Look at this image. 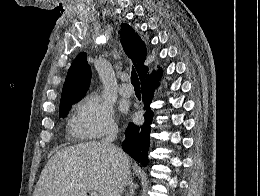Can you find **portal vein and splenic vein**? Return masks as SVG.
I'll return each mask as SVG.
<instances>
[{
    "label": "portal vein and splenic vein",
    "mask_w": 260,
    "mask_h": 196,
    "mask_svg": "<svg viewBox=\"0 0 260 196\" xmlns=\"http://www.w3.org/2000/svg\"><path fill=\"white\" fill-rule=\"evenodd\" d=\"M89 196H100L99 192H93V190H91V192H88Z\"/></svg>",
    "instance_id": "obj_1"
}]
</instances>
